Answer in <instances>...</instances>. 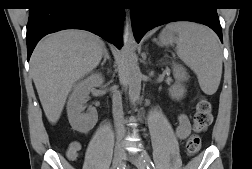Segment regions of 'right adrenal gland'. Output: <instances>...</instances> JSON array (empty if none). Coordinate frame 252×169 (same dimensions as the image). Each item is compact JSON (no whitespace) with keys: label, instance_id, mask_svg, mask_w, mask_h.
<instances>
[{"label":"right adrenal gland","instance_id":"2a0ac1e0","mask_svg":"<svg viewBox=\"0 0 252 169\" xmlns=\"http://www.w3.org/2000/svg\"><path fill=\"white\" fill-rule=\"evenodd\" d=\"M107 60H110V55L109 52L107 50L106 47H104V53H103V61L101 63V66L103 67V65L106 63Z\"/></svg>","mask_w":252,"mask_h":169}]
</instances>
